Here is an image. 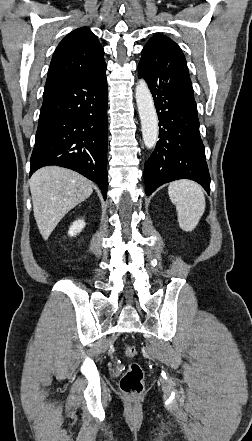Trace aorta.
I'll return each instance as SVG.
<instances>
[{
    "instance_id": "762f6f07",
    "label": "aorta",
    "mask_w": 252,
    "mask_h": 441,
    "mask_svg": "<svg viewBox=\"0 0 252 441\" xmlns=\"http://www.w3.org/2000/svg\"><path fill=\"white\" fill-rule=\"evenodd\" d=\"M136 103L142 126V137L148 149L155 147L158 141V117L151 92L140 79L135 88Z\"/></svg>"
}]
</instances>
